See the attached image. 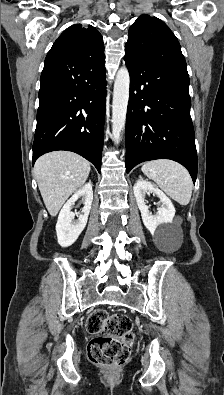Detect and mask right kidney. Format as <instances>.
Wrapping results in <instances>:
<instances>
[{"instance_id":"right-kidney-1","label":"right kidney","mask_w":224,"mask_h":395,"mask_svg":"<svg viewBox=\"0 0 224 395\" xmlns=\"http://www.w3.org/2000/svg\"><path fill=\"white\" fill-rule=\"evenodd\" d=\"M79 198H82L84 206L78 220L74 222L75 213L72 212V208ZM92 200L93 190L92 184L89 182L76 191V193H74L64 204L56 224L57 240L61 247L71 246L84 230L90 213Z\"/></svg>"}]
</instances>
